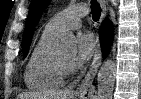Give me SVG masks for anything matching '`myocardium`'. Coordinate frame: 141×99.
Returning a JSON list of instances; mask_svg holds the SVG:
<instances>
[{"label": "myocardium", "instance_id": "obj_1", "mask_svg": "<svg viewBox=\"0 0 141 99\" xmlns=\"http://www.w3.org/2000/svg\"><path fill=\"white\" fill-rule=\"evenodd\" d=\"M54 61H55V65L58 69V71L65 77L68 76L70 74H72L74 72V67L72 65V63H67L64 62L59 56L58 54L54 55Z\"/></svg>", "mask_w": 141, "mask_h": 99}]
</instances>
